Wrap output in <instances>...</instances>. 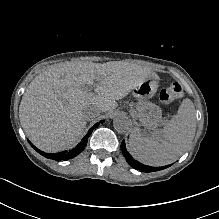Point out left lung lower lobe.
I'll list each match as a JSON object with an SVG mask.
<instances>
[{
    "label": "left lung lower lobe",
    "mask_w": 219,
    "mask_h": 219,
    "mask_svg": "<svg viewBox=\"0 0 219 219\" xmlns=\"http://www.w3.org/2000/svg\"><path fill=\"white\" fill-rule=\"evenodd\" d=\"M121 150H122L124 157L126 158V161L130 164V166H132L133 168H135L137 170L143 171V172L159 171V170L165 169V168L170 166V165H167V166H163V167H152V166L144 165V164L134 160L132 158V156L130 155V153H128V151L126 150V146H125L124 141H122V143H121Z\"/></svg>",
    "instance_id": "obj_1"
}]
</instances>
